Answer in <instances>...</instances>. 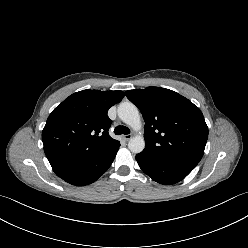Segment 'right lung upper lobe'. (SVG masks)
I'll return each instance as SVG.
<instances>
[{"label":"right lung upper lobe","mask_w":248,"mask_h":248,"mask_svg":"<svg viewBox=\"0 0 248 248\" xmlns=\"http://www.w3.org/2000/svg\"><path fill=\"white\" fill-rule=\"evenodd\" d=\"M123 97L122 91L83 90L66 98L42 131L47 159H87L119 144L109 136L107 112Z\"/></svg>","instance_id":"cb5924a9"}]
</instances>
